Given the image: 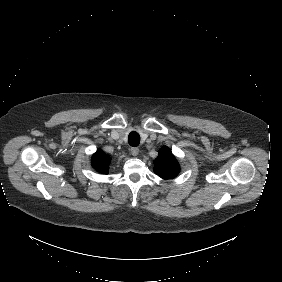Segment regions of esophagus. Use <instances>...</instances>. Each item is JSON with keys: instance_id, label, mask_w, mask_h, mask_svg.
<instances>
[{"instance_id": "obj_1", "label": "esophagus", "mask_w": 282, "mask_h": 282, "mask_svg": "<svg viewBox=\"0 0 282 282\" xmlns=\"http://www.w3.org/2000/svg\"><path fill=\"white\" fill-rule=\"evenodd\" d=\"M130 153H131L132 156H137L139 154V149L136 148V147H132L130 149Z\"/></svg>"}]
</instances>
